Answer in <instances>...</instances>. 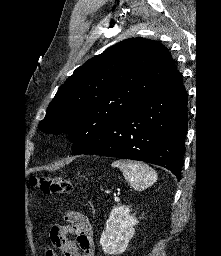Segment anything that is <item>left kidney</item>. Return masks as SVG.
<instances>
[{"label":"left kidney","instance_id":"obj_1","mask_svg":"<svg viewBox=\"0 0 221 256\" xmlns=\"http://www.w3.org/2000/svg\"><path fill=\"white\" fill-rule=\"evenodd\" d=\"M130 211L129 206H117L112 209L100 239L104 253L119 255L128 247L135 234L134 226L138 223L135 216L130 215Z\"/></svg>","mask_w":221,"mask_h":256}]
</instances>
